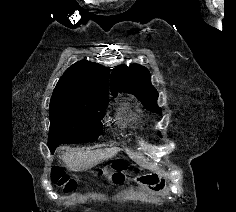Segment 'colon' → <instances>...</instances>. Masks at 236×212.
Returning a JSON list of instances; mask_svg holds the SVG:
<instances>
[{"label":"colon","mask_w":236,"mask_h":212,"mask_svg":"<svg viewBox=\"0 0 236 212\" xmlns=\"http://www.w3.org/2000/svg\"><path fill=\"white\" fill-rule=\"evenodd\" d=\"M126 169L124 161H116L110 169L101 171V175L108 176L114 183H122L118 180V175H124L123 171ZM52 182L65 192H70L75 189L76 183L69 176H67L62 169L55 167L51 171Z\"/></svg>","instance_id":"1"}]
</instances>
